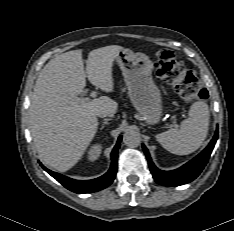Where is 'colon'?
<instances>
[{
	"instance_id": "5ec220e1",
	"label": "colon",
	"mask_w": 234,
	"mask_h": 231,
	"mask_svg": "<svg viewBox=\"0 0 234 231\" xmlns=\"http://www.w3.org/2000/svg\"><path fill=\"white\" fill-rule=\"evenodd\" d=\"M154 71L159 78L171 85L184 101L204 100L208 97L207 90L196 74L184 68L171 51L158 53Z\"/></svg>"
}]
</instances>
